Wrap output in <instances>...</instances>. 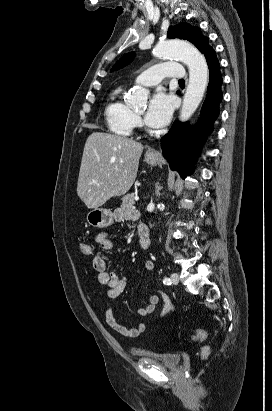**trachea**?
<instances>
[{"instance_id":"1","label":"trachea","mask_w":272,"mask_h":411,"mask_svg":"<svg viewBox=\"0 0 272 411\" xmlns=\"http://www.w3.org/2000/svg\"><path fill=\"white\" fill-rule=\"evenodd\" d=\"M178 82H179V83H182V84L185 83L184 79H180Z\"/></svg>"}]
</instances>
